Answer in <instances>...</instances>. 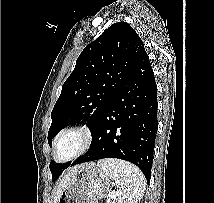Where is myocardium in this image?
<instances>
[{"label": "myocardium", "mask_w": 214, "mask_h": 203, "mask_svg": "<svg viewBox=\"0 0 214 203\" xmlns=\"http://www.w3.org/2000/svg\"><path fill=\"white\" fill-rule=\"evenodd\" d=\"M70 135L79 136L80 146L74 154H72L71 156H69L66 159L59 160L57 157L58 148H59L60 144L62 143V141ZM92 142H93V134L90 131V129H88L86 127H82V126H73V127L66 128V129L62 130L55 138V141L53 144V149H52V158L55 162L60 163V164L69 163V162L74 161L75 159L79 158L83 154H85L91 147Z\"/></svg>", "instance_id": "1"}]
</instances>
